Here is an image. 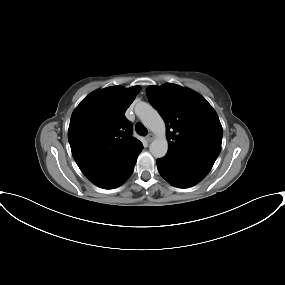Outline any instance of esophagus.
Instances as JSON below:
<instances>
[{"instance_id":"1","label":"esophagus","mask_w":285,"mask_h":285,"mask_svg":"<svg viewBox=\"0 0 285 285\" xmlns=\"http://www.w3.org/2000/svg\"><path fill=\"white\" fill-rule=\"evenodd\" d=\"M154 139V135L152 133H149L147 136H146V140L148 142H151L152 140Z\"/></svg>"}]
</instances>
